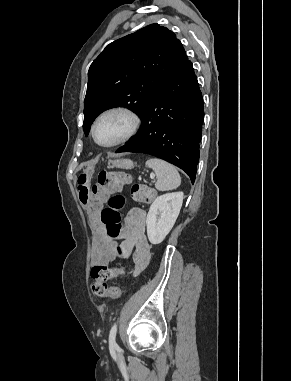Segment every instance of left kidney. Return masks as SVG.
I'll use <instances>...</instances> for the list:
<instances>
[{"mask_svg": "<svg viewBox=\"0 0 291 381\" xmlns=\"http://www.w3.org/2000/svg\"><path fill=\"white\" fill-rule=\"evenodd\" d=\"M183 192L158 196L147 214V235L150 243L160 244L173 228L183 203Z\"/></svg>", "mask_w": 291, "mask_h": 381, "instance_id": "left-kidney-1", "label": "left kidney"}]
</instances>
